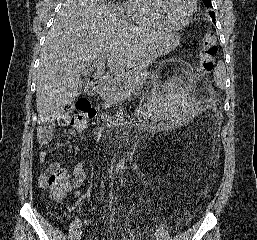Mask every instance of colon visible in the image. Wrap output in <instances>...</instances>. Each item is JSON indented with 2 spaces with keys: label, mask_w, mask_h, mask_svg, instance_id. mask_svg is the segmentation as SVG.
Returning <instances> with one entry per match:
<instances>
[{
  "label": "colon",
  "mask_w": 257,
  "mask_h": 240,
  "mask_svg": "<svg viewBox=\"0 0 257 240\" xmlns=\"http://www.w3.org/2000/svg\"><path fill=\"white\" fill-rule=\"evenodd\" d=\"M217 54V39L215 34L206 33L201 39L199 48V67L206 74H210L215 66V56ZM96 114V110L87 100H79L72 109L65 113V123L71 133L79 132L85 127L88 119ZM43 128L51 129V124H45ZM41 183L50 190L55 199H62L71 189V180L65 170L48 171L42 177Z\"/></svg>",
  "instance_id": "obj_1"
}]
</instances>
